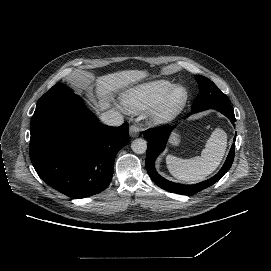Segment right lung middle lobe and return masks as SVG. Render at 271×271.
<instances>
[{
  "instance_id": "1",
  "label": "right lung middle lobe",
  "mask_w": 271,
  "mask_h": 271,
  "mask_svg": "<svg viewBox=\"0 0 271 271\" xmlns=\"http://www.w3.org/2000/svg\"><path fill=\"white\" fill-rule=\"evenodd\" d=\"M69 94H74V93L72 92V90H70L63 84H56L38 100L37 104H41L45 101L51 100L61 95H69Z\"/></svg>"
}]
</instances>
